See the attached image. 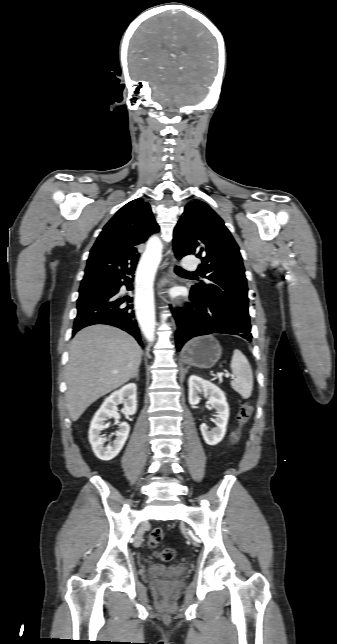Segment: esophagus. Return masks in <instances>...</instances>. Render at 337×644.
<instances>
[{"instance_id":"1","label":"esophagus","mask_w":337,"mask_h":644,"mask_svg":"<svg viewBox=\"0 0 337 644\" xmlns=\"http://www.w3.org/2000/svg\"><path fill=\"white\" fill-rule=\"evenodd\" d=\"M172 269H173V262H171V263H170L169 272H168L167 276H166L165 278H163L162 280H160V282H159V284H158V288H159V290H160V293H159V294H162V288H163L164 282H165V280H166V279H169V278H170L171 273H172ZM173 324H174V326H175V322H174V320H173Z\"/></svg>"}]
</instances>
